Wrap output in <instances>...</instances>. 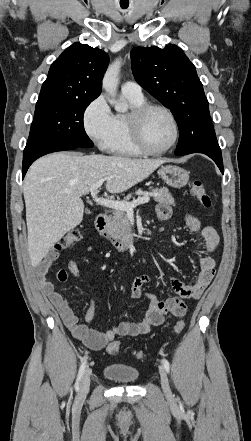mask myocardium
<instances>
[{"label": "myocardium", "mask_w": 251, "mask_h": 441, "mask_svg": "<svg viewBox=\"0 0 251 441\" xmlns=\"http://www.w3.org/2000/svg\"><path fill=\"white\" fill-rule=\"evenodd\" d=\"M152 110H160L167 114V116L170 118L173 129H174V135L173 139L170 142L169 145H167L164 148L156 149L152 148L148 145V143L145 140L144 133H143V121L147 114ZM128 123H129V129L131 133V137L136 144V146L144 153L147 154H164L168 151H170L178 142L179 135H180V129L178 121L174 115V113L166 106L161 104H154V103H145L139 107L134 108L128 116Z\"/></svg>", "instance_id": "f54148a6"}]
</instances>
